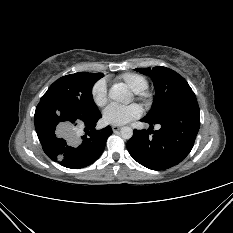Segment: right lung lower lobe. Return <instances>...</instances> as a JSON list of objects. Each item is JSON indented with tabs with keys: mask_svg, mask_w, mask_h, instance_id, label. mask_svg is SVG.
<instances>
[{
	"mask_svg": "<svg viewBox=\"0 0 233 233\" xmlns=\"http://www.w3.org/2000/svg\"><path fill=\"white\" fill-rule=\"evenodd\" d=\"M101 113L89 117H75L50 102H40L34 115V124L46 155L60 165L78 169L92 164L102 154L107 138L112 134L110 126L95 130ZM81 123L90 129L81 138L74 126Z\"/></svg>",
	"mask_w": 233,
	"mask_h": 233,
	"instance_id": "98d812e1",
	"label": "right lung lower lobe"
}]
</instances>
